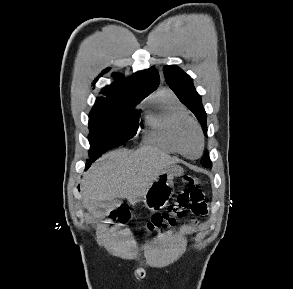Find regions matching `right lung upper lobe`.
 Instances as JSON below:
<instances>
[{"label": "right lung upper lobe", "mask_w": 293, "mask_h": 289, "mask_svg": "<svg viewBox=\"0 0 293 289\" xmlns=\"http://www.w3.org/2000/svg\"><path fill=\"white\" fill-rule=\"evenodd\" d=\"M112 75L116 77V82L102 89L101 93L107 98L97 99L95 106L143 99L157 89L160 81L159 74L153 67L140 71L126 80L115 73Z\"/></svg>", "instance_id": "1"}]
</instances>
